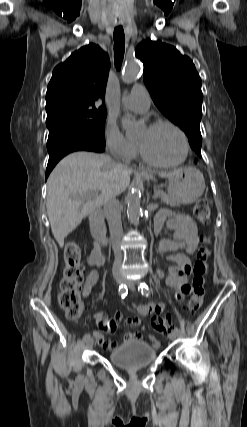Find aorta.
<instances>
[{
	"instance_id": "obj_1",
	"label": "aorta",
	"mask_w": 247,
	"mask_h": 427,
	"mask_svg": "<svg viewBox=\"0 0 247 427\" xmlns=\"http://www.w3.org/2000/svg\"><path fill=\"white\" fill-rule=\"evenodd\" d=\"M140 72V64L135 59H129L124 66L122 80L125 83H132L136 80ZM128 137L134 136L138 132V124L129 116H124L121 120ZM141 192L138 189L133 190L127 198V216L134 226H138L141 214Z\"/></svg>"
}]
</instances>
